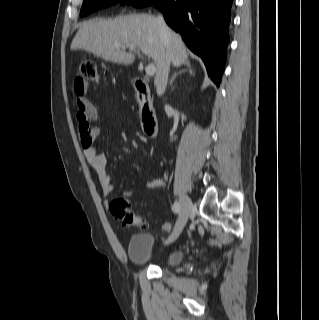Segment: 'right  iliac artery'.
Wrapping results in <instances>:
<instances>
[{
	"instance_id": "1",
	"label": "right iliac artery",
	"mask_w": 319,
	"mask_h": 320,
	"mask_svg": "<svg viewBox=\"0 0 319 320\" xmlns=\"http://www.w3.org/2000/svg\"><path fill=\"white\" fill-rule=\"evenodd\" d=\"M172 210L174 213L178 214L181 210L180 204L178 202H175L172 206Z\"/></svg>"
}]
</instances>
